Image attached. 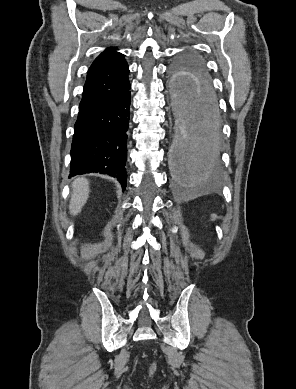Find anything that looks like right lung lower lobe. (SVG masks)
<instances>
[{
	"label": "right lung lower lobe",
	"mask_w": 296,
	"mask_h": 389,
	"mask_svg": "<svg viewBox=\"0 0 296 389\" xmlns=\"http://www.w3.org/2000/svg\"><path fill=\"white\" fill-rule=\"evenodd\" d=\"M130 83L105 99L79 106L71 148L70 176L98 172L126 188Z\"/></svg>",
	"instance_id": "1"
}]
</instances>
